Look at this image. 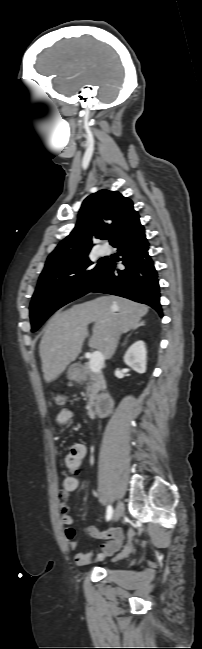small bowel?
<instances>
[{
	"mask_svg": "<svg viewBox=\"0 0 202 649\" xmlns=\"http://www.w3.org/2000/svg\"><path fill=\"white\" fill-rule=\"evenodd\" d=\"M74 414L69 408L62 409L56 416V423L58 425L68 424ZM87 453V446L83 443H77L70 447L68 454L65 457V471L66 476L63 480L62 488L58 493V501L60 504V517L61 522L67 527L64 529L63 535L67 541V547L70 550L77 549V542L75 541V530L69 525L73 523L71 508L67 504L69 496L75 492L79 487V480L77 475L80 472L81 464ZM90 537L94 539H105L106 541L101 545V552L96 553L90 550L86 553H77L74 556L77 565H88L103 561L105 558L113 556L117 553L123 542L124 534L121 528L112 527L106 531H99L96 527L90 526L87 529ZM129 547L124 548L120 553L115 555L112 560L116 561L123 558L129 553Z\"/></svg>",
	"mask_w": 202,
	"mask_h": 649,
	"instance_id": "1",
	"label": "small bowel"
}]
</instances>
